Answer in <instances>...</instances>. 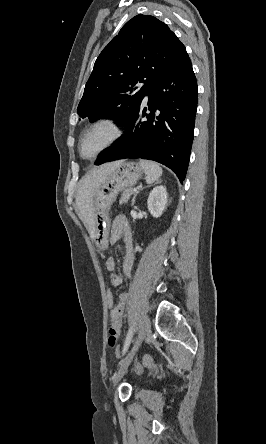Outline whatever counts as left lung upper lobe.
<instances>
[{"label":"left lung upper lobe","mask_w":266,"mask_h":444,"mask_svg":"<svg viewBox=\"0 0 266 444\" xmlns=\"http://www.w3.org/2000/svg\"><path fill=\"white\" fill-rule=\"evenodd\" d=\"M186 54L165 23L153 16L133 17L98 56L78 114L90 122L110 118L124 125L150 88ZM138 82L144 83L140 89Z\"/></svg>","instance_id":"obj_1"}]
</instances>
